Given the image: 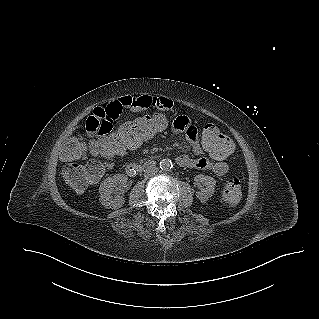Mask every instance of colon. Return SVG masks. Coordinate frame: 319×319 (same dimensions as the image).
<instances>
[{
	"mask_svg": "<svg viewBox=\"0 0 319 319\" xmlns=\"http://www.w3.org/2000/svg\"><path fill=\"white\" fill-rule=\"evenodd\" d=\"M113 122L107 134L99 138L88 136L87 140L74 137L63 147L61 155L68 164L64 166L62 175L73 190L80 191L90 182L99 180L105 167L110 166L109 160L122 158L140 145L159 139L167 133L170 126L167 116L159 112L137 115L136 120L122 123L115 128ZM199 142L210 156L219 161L229 160L236 151L235 141L216 125L203 127L199 133ZM86 150L90 161L85 164L75 162L82 158ZM241 196L240 180L228 179L222 191L223 201L233 206L240 202Z\"/></svg>",
	"mask_w": 319,
	"mask_h": 319,
	"instance_id": "colon-1",
	"label": "colon"
}]
</instances>
